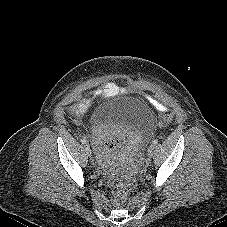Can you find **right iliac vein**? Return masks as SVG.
Masks as SVG:
<instances>
[{"instance_id": "63e3f726", "label": "right iliac vein", "mask_w": 227, "mask_h": 227, "mask_svg": "<svg viewBox=\"0 0 227 227\" xmlns=\"http://www.w3.org/2000/svg\"><path fill=\"white\" fill-rule=\"evenodd\" d=\"M84 148H85L86 154L90 157V156L92 155V152H91V149H90V147L88 146V144H85V145H84Z\"/></svg>"}]
</instances>
